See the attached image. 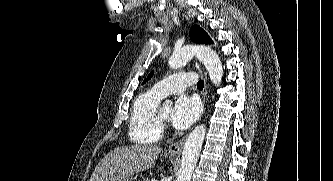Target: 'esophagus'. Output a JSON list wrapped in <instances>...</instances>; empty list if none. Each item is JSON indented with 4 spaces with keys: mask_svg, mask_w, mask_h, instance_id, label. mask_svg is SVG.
Masks as SVG:
<instances>
[{
    "mask_svg": "<svg viewBox=\"0 0 333 181\" xmlns=\"http://www.w3.org/2000/svg\"><path fill=\"white\" fill-rule=\"evenodd\" d=\"M195 67L199 72H201L199 63L196 62ZM204 82H205V88H204L203 93H202V98H203V103L205 105L206 104V97H207L206 78L205 77H204ZM185 139H186V137H184V138L180 139L179 141L169 145V147L167 148V152L171 155L180 154L181 151H182Z\"/></svg>",
    "mask_w": 333,
    "mask_h": 181,
    "instance_id": "obj_1",
    "label": "esophagus"
}]
</instances>
